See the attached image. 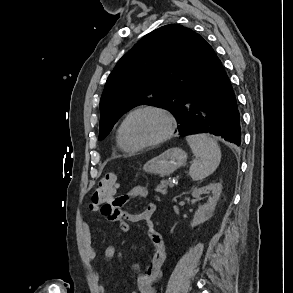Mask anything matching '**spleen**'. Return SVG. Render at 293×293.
<instances>
[{"mask_svg":"<svg viewBox=\"0 0 293 293\" xmlns=\"http://www.w3.org/2000/svg\"><path fill=\"white\" fill-rule=\"evenodd\" d=\"M186 140L197 158L190 166L189 174L195 181L203 180L219 166L221 151L218 143L206 134L190 135Z\"/></svg>","mask_w":293,"mask_h":293,"instance_id":"spleen-1","label":"spleen"}]
</instances>
